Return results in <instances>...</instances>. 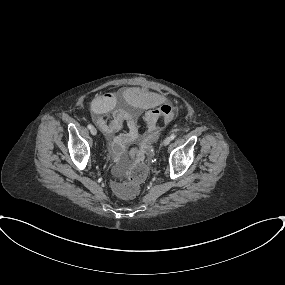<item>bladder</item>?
<instances>
[{"label": "bladder", "mask_w": 285, "mask_h": 285, "mask_svg": "<svg viewBox=\"0 0 285 285\" xmlns=\"http://www.w3.org/2000/svg\"><path fill=\"white\" fill-rule=\"evenodd\" d=\"M118 99L123 102L128 101L130 99V91L126 89L122 90L118 95Z\"/></svg>", "instance_id": "31cf9c89"}]
</instances>
